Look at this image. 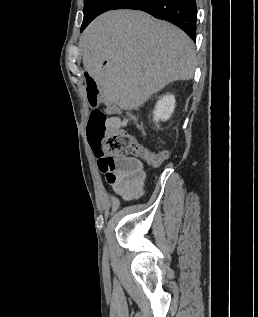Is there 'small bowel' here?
Instances as JSON below:
<instances>
[{"label":"small bowel","instance_id":"obj_1","mask_svg":"<svg viewBox=\"0 0 258 317\" xmlns=\"http://www.w3.org/2000/svg\"><path fill=\"white\" fill-rule=\"evenodd\" d=\"M110 126L114 129L124 128L130 123H137L128 114L110 112ZM137 126H139L137 124ZM161 153L165 158L168 151ZM99 170L104 174L105 182L111 186L112 192L121 200L128 201L140 197L144 193L146 173L143 163L133 157L109 156L95 153Z\"/></svg>","mask_w":258,"mask_h":317}]
</instances>
